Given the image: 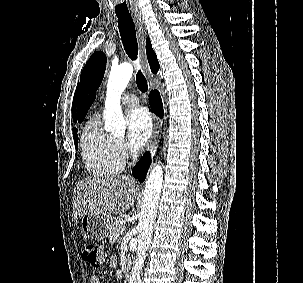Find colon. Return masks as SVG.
Returning <instances> with one entry per match:
<instances>
[{"mask_svg":"<svg viewBox=\"0 0 303 283\" xmlns=\"http://www.w3.org/2000/svg\"><path fill=\"white\" fill-rule=\"evenodd\" d=\"M109 247L102 243H86L82 248L84 261L93 269H99L109 257Z\"/></svg>","mask_w":303,"mask_h":283,"instance_id":"colon-1","label":"colon"}]
</instances>
